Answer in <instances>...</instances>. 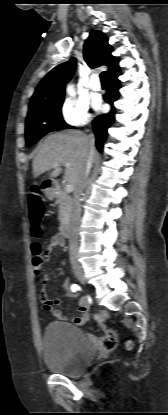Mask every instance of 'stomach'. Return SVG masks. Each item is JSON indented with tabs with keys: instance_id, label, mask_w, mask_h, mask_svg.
<instances>
[{
	"instance_id": "0dacf381",
	"label": "stomach",
	"mask_w": 168,
	"mask_h": 415,
	"mask_svg": "<svg viewBox=\"0 0 168 415\" xmlns=\"http://www.w3.org/2000/svg\"><path fill=\"white\" fill-rule=\"evenodd\" d=\"M47 197H52V194L50 192H46Z\"/></svg>"
}]
</instances>
